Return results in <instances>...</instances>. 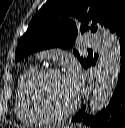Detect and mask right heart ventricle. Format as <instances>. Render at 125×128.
Instances as JSON below:
<instances>
[{
	"instance_id": "1",
	"label": "right heart ventricle",
	"mask_w": 125,
	"mask_h": 128,
	"mask_svg": "<svg viewBox=\"0 0 125 128\" xmlns=\"http://www.w3.org/2000/svg\"><path fill=\"white\" fill-rule=\"evenodd\" d=\"M36 66H29L19 76L16 86L15 111L18 118L27 124H44L47 121L34 109L28 96V85L32 77L37 73Z\"/></svg>"
}]
</instances>
